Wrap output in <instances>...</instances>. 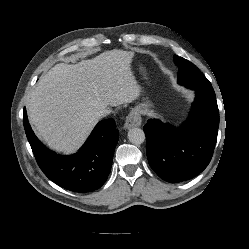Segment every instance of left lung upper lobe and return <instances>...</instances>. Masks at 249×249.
<instances>
[{
	"mask_svg": "<svg viewBox=\"0 0 249 249\" xmlns=\"http://www.w3.org/2000/svg\"><path fill=\"white\" fill-rule=\"evenodd\" d=\"M174 62L179 68V84L194 90L214 92L211 83L193 63L177 55H174Z\"/></svg>",
	"mask_w": 249,
	"mask_h": 249,
	"instance_id": "obj_1",
	"label": "left lung upper lobe"
}]
</instances>
